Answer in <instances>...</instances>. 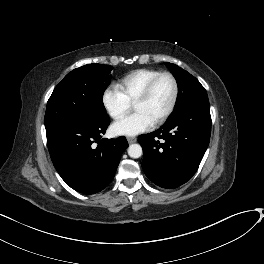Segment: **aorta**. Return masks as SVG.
Returning <instances> with one entry per match:
<instances>
[{
  "mask_svg": "<svg viewBox=\"0 0 264 264\" xmlns=\"http://www.w3.org/2000/svg\"><path fill=\"white\" fill-rule=\"evenodd\" d=\"M128 155L131 158H139L142 155V147L139 144H132L128 147Z\"/></svg>",
  "mask_w": 264,
  "mask_h": 264,
  "instance_id": "762f6f07",
  "label": "aorta"
}]
</instances>
